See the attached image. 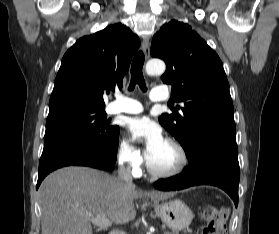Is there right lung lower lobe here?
Returning a JSON list of instances; mask_svg holds the SVG:
<instances>
[{"instance_id":"right-lung-lower-lobe-1","label":"right lung lower lobe","mask_w":279,"mask_h":234,"mask_svg":"<svg viewBox=\"0 0 279 234\" xmlns=\"http://www.w3.org/2000/svg\"><path fill=\"white\" fill-rule=\"evenodd\" d=\"M118 137L112 151H105L96 143L87 139L70 136L59 138L44 144L39 161L37 189L50 172L69 165L89 166L107 169L116 161Z\"/></svg>"}]
</instances>
